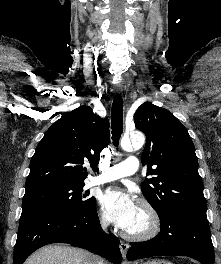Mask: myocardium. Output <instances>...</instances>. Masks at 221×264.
Returning <instances> with one entry per match:
<instances>
[{
  "instance_id": "1",
  "label": "myocardium",
  "mask_w": 221,
  "mask_h": 264,
  "mask_svg": "<svg viewBox=\"0 0 221 264\" xmlns=\"http://www.w3.org/2000/svg\"><path fill=\"white\" fill-rule=\"evenodd\" d=\"M139 208L144 212L147 218L146 227L140 231L131 232L128 230H124V236L127 239L134 241H144L154 238L161 229V219L152 204L148 201H141L139 204Z\"/></svg>"
}]
</instances>
